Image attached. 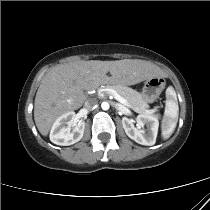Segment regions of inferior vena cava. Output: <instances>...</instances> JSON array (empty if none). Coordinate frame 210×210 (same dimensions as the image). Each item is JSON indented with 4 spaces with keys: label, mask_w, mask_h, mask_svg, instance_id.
Masks as SVG:
<instances>
[{
    "label": "inferior vena cava",
    "mask_w": 210,
    "mask_h": 210,
    "mask_svg": "<svg viewBox=\"0 0 210 210\" xmlns=\"http://www.w3.org/2000/svg\"><path fill=\"white\" fill-rule=\"evenodd\" d=\"M97 100L96 99H89L85 102L84 107L86 109H91L93 106H95L97 104Z\"/></svg>",
    "instance_id": "obj_1"
}]
</instances>
